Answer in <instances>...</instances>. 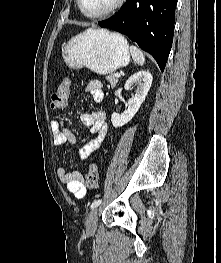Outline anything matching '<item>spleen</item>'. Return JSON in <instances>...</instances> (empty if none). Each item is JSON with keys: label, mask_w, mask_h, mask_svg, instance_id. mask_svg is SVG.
I'll list each match as a JSON object with an SVG mask.
<instances>
[{"label": "spleen", "mask_w": 221, "mask_h": 263, "mask_svg": "<svg viewBox=\"0 0 221 263\" xmlns=\"http://www.w3.org/2000/svg\"><path fill=\"white\" fill-rule=\"evenodd\" d=\"M130 53L133 58V60L138 64V65H143L145 63V57L143 52L137 48L136 46H131L130 47Z\"/></svg>", "instance_id": "obj_1"}]
</instances>
